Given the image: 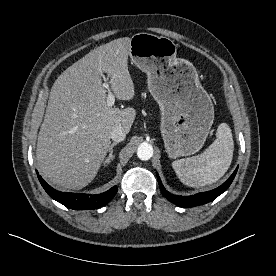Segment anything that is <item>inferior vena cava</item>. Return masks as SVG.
<instances>
[{"label":"inferior vena cava","instance_id":"602c4592","mask_svg":"<svg viewBox=\"0 0 276 276\" xmlns=\"http://www.w3.org/2000/svg\"><path fill=\"white\" fill-rule=\"evenodd\" d=\"M127 132L122 126H116L111 132V139L114 142H121L125 139Z\"/></svg>","mask_w":276,"mask_h":276}]
</instances>
